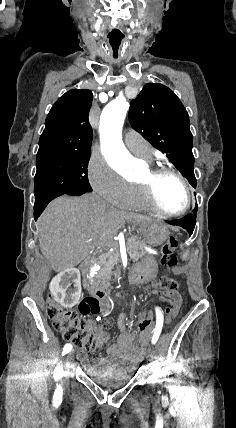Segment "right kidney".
Returning a JSON list of instances; mask_svg holds the SVG:
<instances>
[{
    "label": "right kidney",
    "mask_w": 236,
    "mask_h": 428,
    "mask_svg": "<svg viewBox=\"0 0 236 428\" xmlns=\"http://www.w3.org/2000/svg\"><path fill=\"white\" fill-rule=\"evenodd\" d=\"M66 278H70L66 283ZM73 282V283H71ZM50 290L57 300L64 308H71L79 302L81 294L80 272L77 269H61L52 278Z\"/></svg>",
    "instance_id": "right-kidney-1"
}]
</instances>
